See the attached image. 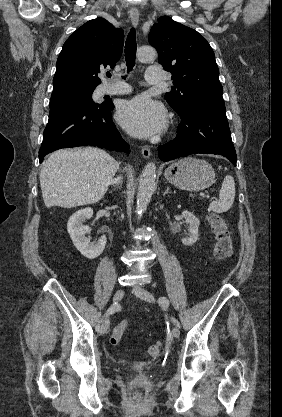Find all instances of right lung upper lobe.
<instances>
[{"mask_svg":"<svg viewBox=\"0 0 282 417\" xmlns=\"http://www.w3.org/2000/svg\"><path fill=\"white\" fill-rule=\"evenodd\" d=\"M124 34L104 18L79 27L64 43L56 64L53 93L95 89L97 74L113 68L123 50Z\"/></svg>","mask_w":282,"mask_h":417,"instance_id":"right-lung-upper-lobe-1","label":"right lung upper lobe"}]
</instances>
